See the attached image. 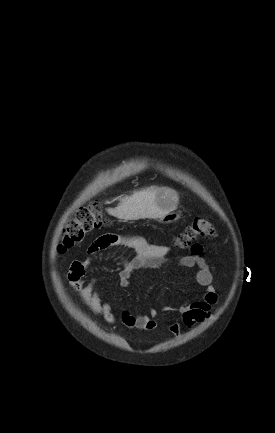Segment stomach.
<instances>
[{
    "mask_svg": "<svg viewBox=\"0 0 275 433\" xmlns=\"http://www.w3.org/2000/svg\"><path fill=\"white\" fill-rule=\"evenodd\" d=\"M156 203L160 211L164 213L163 216L159 217L162 223H170L179 218L177 214L173 213L178 204V195L173 189L159 188L156 192Z\"/></svg>",
    "mask_w": 275,
    "mask_h": 433,
    "instance_id": "0dacf381",
    "label": "stomach"
}]
</instances>
